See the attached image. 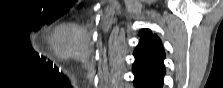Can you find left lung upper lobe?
<instances>
[{
	"mask_svg": "<svg viewBox=\"0 0 223 88\" xmlns=\"http://www.w3.org/2000/svg\"><path fill=\"white\" fill-rule=\"evenodd\" d=\"M139 35L141 40L134 51L135 59L145 60L164 68L165 53L159 38L148 29L141 30Z\"/></svg>",
	"mask_w": 223,
	"mask_h": 88,
	"instance_id": "left-lung-upper-lobe-1",
	"label": "left lung upper lobe"
}]
</instances>
